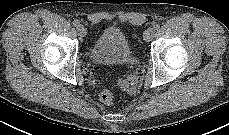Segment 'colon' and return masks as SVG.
Wrapping results in <instances>:
<instances>
[{
	"instance_id": "5ec220e1",
	"label": "colon",
	"mask_w": 229,
	"mask_h": 135,
	"mask_svg": "<svg viewBox=\"0 0 229 135\" xmlns=\"http://www.w3.org/2000/svg\"><path fill=\"white\" fill-rule=\"evenodd\" d=\"M99 99L102 103H104L106 105H111V104H113V102L115 100V94L111 89H104L100 93Z\"/></svg>"
}]
</instances>
